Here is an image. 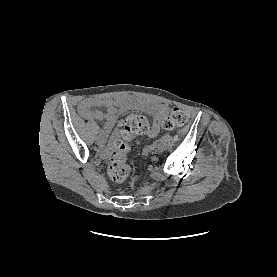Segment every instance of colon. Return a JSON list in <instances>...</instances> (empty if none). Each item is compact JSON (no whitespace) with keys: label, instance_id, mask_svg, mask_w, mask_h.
<instances>
[{"label":"colon","instance_id":"5ec220e1","mask_svg":"<svg viewBox=\"0 0 277 277\" xmlns=\"http://www.w3.org/2000/svg\"><path fill=\"white\" fill-rule=\"evenodd\" d=\"M187 122V114L181 109H173L161 125L170 130L182 127ZM151 130L149 120L142 115L131 114L124 120L120 135L112 141V152L109 158L108 174L115 183H124L130 175L128 156L131 151L130 142L137 134H147Z\"/></svg>","mask_w":277,"mask_h":277}]
</instances>
